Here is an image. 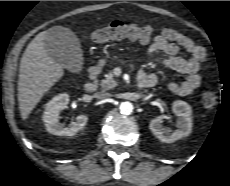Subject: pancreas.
I'll return each mask as SVG.
<instances>
[{"mask_svg":"<svg viewBox=\"0 0 230 186\" xmlns=\"http://www.w3.org/2000/svg\"><path fill=\"white\" fill-rule=\"evenodd\" d=\"M100 85L103 91L110 90L117 86V82L114 79L112 71L105 75V79L101 81Z\"/></svg>","mask_w":230,"mask_h":186,"instance_id":"cf45deb5","label":"pancreas"}]
</instances>
